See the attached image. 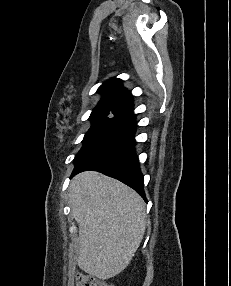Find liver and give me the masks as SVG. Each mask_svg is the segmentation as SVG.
I'll return each mask as SVG.
<instances>
[{
	"instance_id": "liver-1",
	"label": "liver",
	"mask_w": 231,
	"mask_h": 286,
	"mask_svg": "<svg viewBox=\"0 0 231 286\" xmlns=\"http://www.w3.org/2000/svg\"><path fill=\"white\" fill-rule=\"evenodd\" d=\"M70 205L79 226V267L102 281L121 273L145 233L143 199L127 185L87 171L73 178Z\"/></svg>"
}]
</instances>
